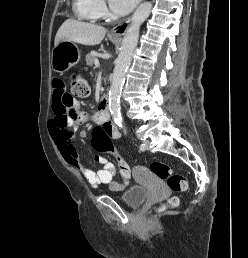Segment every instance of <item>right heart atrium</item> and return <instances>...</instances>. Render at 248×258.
I'll return each instance as SVG.
<instances>
[{
	"label": "right heart atrium",
	"instance_id": "d8ad5b80",
	"mask_svg": "<svg viewBox=\"0 0 248 258\" xmlns=\"http://www.w3.org/2000/svg\"><path fill=\"white\" fill-rule=\"evenodd\" d=\"M95 8L99 16H105L107 14V7L104 0H94Z\"/></svg>",
	"mask_w": 248,
	"mask_h": 258
}]
</instances>
